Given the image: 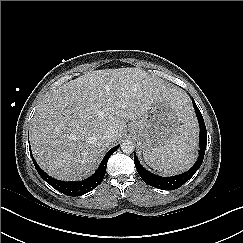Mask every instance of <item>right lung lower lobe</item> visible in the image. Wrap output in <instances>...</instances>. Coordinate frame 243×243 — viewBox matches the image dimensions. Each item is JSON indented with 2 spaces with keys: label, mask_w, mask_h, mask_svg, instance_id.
I'll list each match as a JSON object with an SVG mask.
<instances>
[{
  "label": "right lung lower lobe",
  "mask_w": 243,
  "mask_h": 243,
  "mask_svg": "<svg viewBox=\"0 0 243 243\" xmlns=\"http://www.w3.org/2000/svg\"><path fill=\"white\" fill-rule=\"evenodd\" d=\"M119 145L110 149L105 157L103 158L99 168L97 171L89 178L79 181V182H64L56 180L50 176H48L36 163L34 160L33 155L31 154V158L33 160L34 166L39 173V175L53 188L60 191L61 193L68 195V196H80L86 194L97 187L103 180L107 162L109 157L118 149ZM30 149V146H29Z\"/></svg>",
  "instance_id": "98d812e1"
}]
</instances>
